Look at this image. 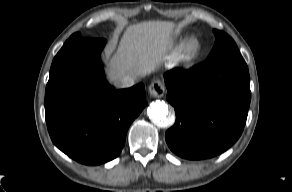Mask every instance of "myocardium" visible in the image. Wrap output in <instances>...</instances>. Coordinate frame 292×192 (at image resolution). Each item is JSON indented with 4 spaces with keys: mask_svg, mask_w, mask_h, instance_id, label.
Wrapping results in <instances>:
<instances>
[{
    "mask_svg": "<svg viewBox=\"0 0 292 192\" xmlns=\"http://www.w3.org/2000/svg\"><path fill=\"white\" fill-rule=\"evenodd\" d=\"M201 51V43L198 38L192 36L185 39L176 52L177 61L183 66L192 64Z\"/></svg>",
    "mask_w": 292,
    "mask_h": 192,
    "instance_id": "f54148a6",
    "label": "myocardium"
}]
</instances>
